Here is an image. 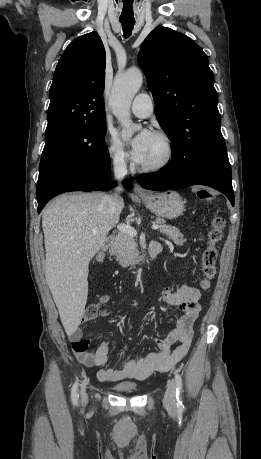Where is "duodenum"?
I'll list each match as a JSON object with an SVG mask.
<instances>
[{
    "mask_svg": "<svg viewBox=\"0 0 261 459\" xmlns=\"http://www.w3.org/2000/svg\"><path fill=\"white\" fill-rule=\"evenodd\" d=\"M114 239L115 237L113 235L108 236L103 245V250L109 249L113 245ZM161 250H162V247L160 243L156 241L150 242L147 248L148 257L150 259H155L160 254Z\"/></svg>",
    "mask_w": 261,
    "mask_h": 459,
    "instance_id": "obj_1",
    "label": "duodenum"
}]
</instances>
